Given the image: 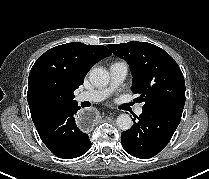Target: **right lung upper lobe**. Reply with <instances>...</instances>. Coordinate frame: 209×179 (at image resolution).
<instances>
[{
	"instance_id": "right-lung-upper-lobe-1",
	"label": "right lung upper lobe",
	"mask_w": 209,
	"mask_h": 179,
	"mask_svg": "<svg viewBox=\"0 0 209 179\" xmlns=\"http://www.w3.org/2000/svg\"><path fill=\"white\" fill-rule=\"evenodd\" d=\"M110 55L103 45L84 43L59 45L41 55L30 71L27 92L36 129L62 109L77 104L74 90L95 63Z\"/></svg>"
}]
</instances>
